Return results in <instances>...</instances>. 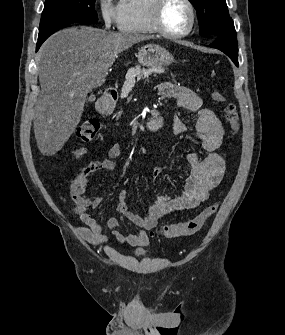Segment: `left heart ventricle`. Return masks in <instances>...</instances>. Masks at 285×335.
I'll list each match as a JSON object with an SVG mask.
<instances>
[{
    "instance_id": "1",
    "label": "left heart ventricle",
    "mask_w": 285,
    "mask_h": 335,
    "mask_svg": "<svg viewBox=\"0 0 285 335\" xmlns=\"http://www.w3.org/2000/svg\"><path fill=\"white\" fill-rule=\"evenodd\" d=\"M189 19V10L181 2L175 1L167 5L164 12V21L170 30L177 31L186 27Z\"/></svg>"
}]
</instances>
